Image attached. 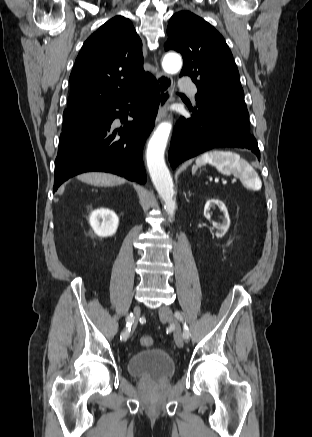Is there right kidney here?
<instances>
[{
    "label": "right kidney",
    "mask_w": 312,
    "mask_h": 437,
    "mask_svg": "<svg viewBox=\"0 0 312 437\" xmlns=\"http://www.w3.org/2000/svg\"><path fill=\"white\" fill-rule=\"evenodd\" d=\"M89 223L98 236L107 237L115 234L119 218L112 210L101 208L90 214Z\"/></svg>",
    "instance_id": "right-kidney-1"
}]
</instances>
